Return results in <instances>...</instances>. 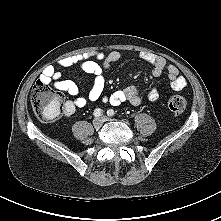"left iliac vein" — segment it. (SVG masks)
<instances>
[{"mask_svg": "<svg viewBox=\"0 0 221 221\" xmlns=\"http://www.w3.org/2000/svg\"><path fill=\"white\" fill-rule=\"evenodd\" d=\"M101 118L103 119V121H104V122H106V121H109V120H110V119H109L108 117H106V116H102Z\"/></svg>", "mask_w": 221, "mask_h": 221, "instance_id": "left-iliac-vein-1", "label": "left iliac vein"}]
</instances>
